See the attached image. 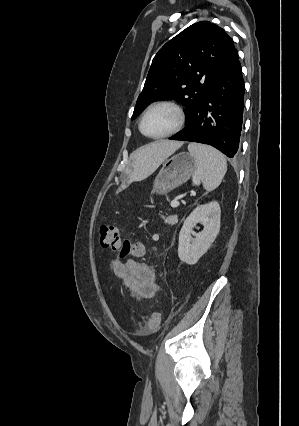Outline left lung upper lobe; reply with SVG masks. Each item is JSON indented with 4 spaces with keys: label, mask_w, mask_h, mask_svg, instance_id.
<instances>
[{
    "label": "left lung upper lobe",
    "mask_w": 299,
    "mask_h": 426,
    "mask_svg": "<svg viewBox=\"0 0 299 426\" xmlns=\"http://www.w3.org/2000/svg\"><path fill=\"white\" fill-rule=\"evenodd\" d=\"M235 51L221 27L209 21L189 26L154 57L132 119L153 101L176 100L186 106L188 121Z\"/></svg>",
    "instance_id": "left-lung-upper-lobe-1"
}]
</instances>
